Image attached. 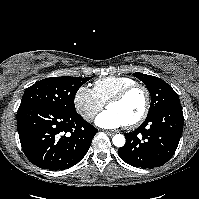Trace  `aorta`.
<instances>
[{
  "mask_svg": "<svg viewBox=\"0 0 199 199\" xmlns=\"http://www.w3.org/2000/svg\"><path fill=\"white\" fill-rule=\"evenodd\" d=\"M113 145L116 147H122L125 144V137L121 134H116L112 139Z\"/></svg>",
  "mask_w": 199,
  "mask_h": 199,
  "instance_id": "1",
  "label": "aorta"
}]
</instances>
